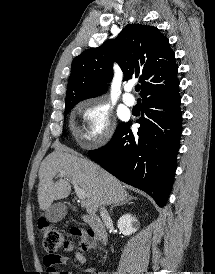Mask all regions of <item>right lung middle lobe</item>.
<instances>
[{"label": "right lung middle lobe", "mask_w": 215, "mask_h": 274, "mask_svg": "<svg viewBox=\"0 0 215 274\" xmlns=\"http://www.w3.org/2000/svg\"><path fill=\"white\" fill-rule=\"evenodd\" d=\"M74 105L75 104L65 106V113H68L74 107Z\"/></svg>", "instance_id": "dd1d6c3e"}]
</instances>
